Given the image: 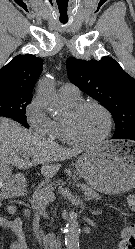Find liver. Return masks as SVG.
<instances>
[{"label": "liver", "mask_w": 135, "mask_h": 249, "mask_svg": "<svg viewBox=\"0 0 135 249\" xmlns=\"http://www.w3.org/2000/svg\"><path fill=\"white\" fill-rule=\"evenodd\" d=\"M81 150L64 148L28 131L12 119L0 117V162L19 169L42 165L41 173L52 177L60 169L56 162L79 154ZM31 158V160H30ZM1 185V183H0Z\"/></svg>", "instance_id": "1"}]
</instances>
